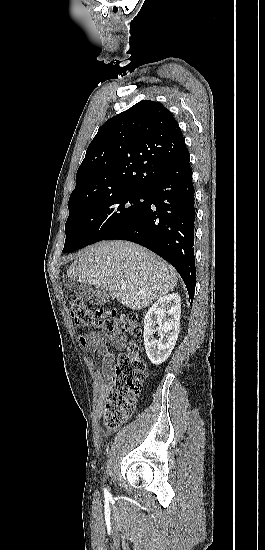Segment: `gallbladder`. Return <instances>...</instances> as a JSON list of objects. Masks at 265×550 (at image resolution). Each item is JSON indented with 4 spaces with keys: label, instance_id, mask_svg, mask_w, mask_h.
<instances>
[{
    "label": "gallbladder",
    "instance_id": "gallbladder-1",
    "mask_svg": "<svg viewBox=\"0 0 265 550\" xmlns=\"http://www.w3.org/2000/svg\"><path fill=\"white\" fill-rule=\"evenodd\" d=\"M65 286L75 294H77L82 300L92 303L94 305H103L109 299H113L110 293L101 288L94 287L89 284H77L75 280L68 278L65 281Z\"/></svg>",
    "mask_w": 265,
    "mask_h": 550
}]
</instances>
